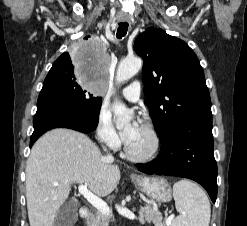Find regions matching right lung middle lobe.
<instances>
[{"label":"right lung middle lobe","mask_w":247,"mask_h":226,"mask_svg":"<svg viewBox=\"0 0 247 226\" xmlns=\"http://www.w3.org/2000/svg\"><path fill=\"white\" fill-rule=\"evenodd\" d=\"M72 65L69 56L67 60L52 67L43 86L54 87L88 110L99 113L102 104L101 97L89 92V89H81V86H78V78H75V70H72Z\"/></svg>","instance_id":"dd1d6c3e"}]
</instances>
